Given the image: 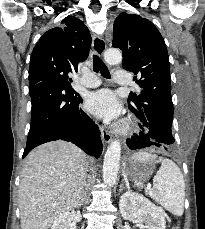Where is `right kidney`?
<instances>
[{
    "label": "right kidney",
    "instance_id": "1",
    "mask_svg": "<svg viewBox=\"0 0 205 229\" xmlns=\"http://www.w3.org/2000/svg\"><path fill=\"white\" fill-rule=\"evenodd\" d=\"M72 215L66 212L60 215L54 222L51 229H72Z\"/></svg>",
    "mask_w": 205,
    "mask_h": 229
}]
</instances>
